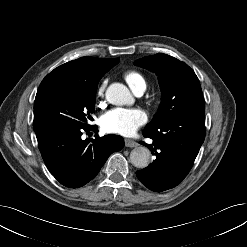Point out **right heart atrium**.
<instances>
[{"label":"right heart atrium","instance_id":"d8ad5b80","mask_svg":"<svg viewBox=\"0 0 247 247\" xmlns=\"http://www.w3.org/2000/svg\"><path fill=\"white\" fill-rule=\"evenodd\" d=\"M104 90H105V82H103L98 88L97 94L99 97H101L104 94Z\"/></svg>","mask_w":247,"mask_h":247}]
</instances>
